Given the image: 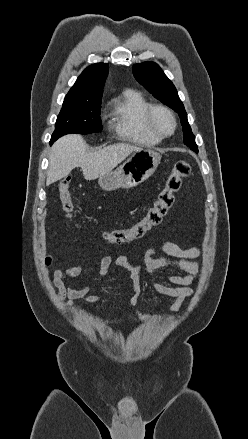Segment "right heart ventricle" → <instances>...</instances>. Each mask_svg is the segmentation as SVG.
<instances>
[{
	"instance_id": "e07e8e85",
	"label": "right heart ventricle",
	"mask_w": 248,
	"mask_h": 439,
	"mask_svg": "<svg viewBox=\"0 0 248 439\" xmlns=\"http://www.w3.org/2000/svg\"><path fill=\"white\" fill-rule=\"evenodd\" d=\"M151 104L136 90H127L113 103L109 114L111 130L122 140L153 146L162 138L148 127L146 114Z\"/></svg>"
}]
</instances>
